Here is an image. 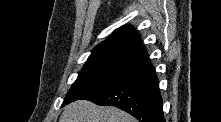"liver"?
<instances>
[{
	"instance_id": "6515ba94",
	"label": "liver",
	"mask_w": 221,
	"mask_h": 122,
	"mask_svg": "<svg viewBox=\"0 0 221 122\" xmlns=\"http://www.w3.org/2000/svg\"><path fill=\"white\" fill-rule=\"evenodd\" d=\"M59 122H136V119L113 106L78 100L65 107Z\"/></svg>"
}]
</instances>
